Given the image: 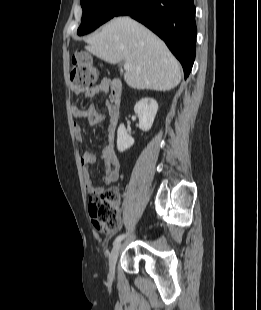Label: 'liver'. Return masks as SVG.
<instances>
[{"label":"liver","instance_id":"1","mask_svg":"<svg viewBox=\"0 0 261 310\" xmlns=\"http://www.w3.org/2000/svg\"><path fill=\"white\" fill-rule=\"evenodd\" d=\"M86 42L85 49L96 57L131 65L124 74L131 88L169 91L181 81L180 64L165 43L130 17L112 19Z\"/></svg>","mask_w":261,"mask_h":310}]
</instances>
